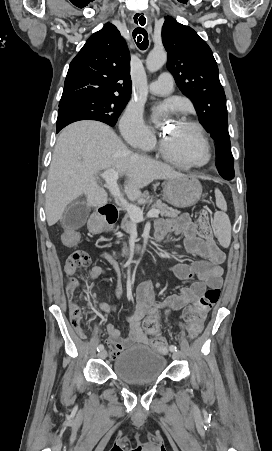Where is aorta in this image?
I'll list each match as a JSON object with an SVG mask.
<instances>
[{
	"label": "aorta",
	"mask_w": 272,
	"mask_h": 451,
	"mask_svg": "<svg viewBox=\"0 0 272 451\" xmlns=\"http://www.w3.org/2000/svg\"><path fill=\"white\" fill-rule=\"evenodd\" d=\"M167 62V52L161 50V52H150L147 56L146 66L149 72H157Z\"/></svg>",
	"instance_id": "1"
}]
</instances>
